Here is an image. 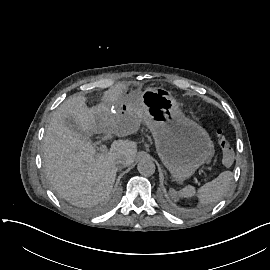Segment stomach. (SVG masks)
Returning <instances> with one entry per match:
<instances>
[{
    "instance_id": "1",
    "label": "stomach",
    "mask_w": 270,
    "mask_h": 270,
    "mask_svg": "<svg viewBox=\"0 0 270 270\" xmlns=\"http://www.w3.org/2000/svg\"><path fill=\"white\" fill-rule=\"evenodd\" d=\"M128 110L133 114L145 111L143 121L152 132L156 151L179 184L213 157L214 145L208 132L185 116L169 91L147 87L139 99L121 103L117 114L124 115Z\"/></svg>"
}]
</instances>
